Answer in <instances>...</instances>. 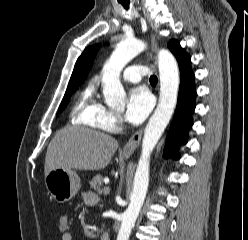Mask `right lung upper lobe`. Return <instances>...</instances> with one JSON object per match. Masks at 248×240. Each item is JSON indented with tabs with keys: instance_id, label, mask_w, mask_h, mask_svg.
Returning <instances> with one entry per match:
<instances>
[{
	"instance_id": "right-lung-upper-lobe-1",
	"label": "right lung upper lobe",
	"mask_w": 248,
	"mask_h": 240,
	"mask_svg": "<svg viewBox=\"0 0 248 240\" xmlns=\"http://www.w3.org/2000/svg\"><path fill=\"white\" fill-rule=\"evenodd\" d=\"M99 50V45H93L84 50L81 56L78 58L73 73L71 75L70 81L76 80L81 81V83L87 77L95 56Z\"/></svg>"
}]
</instances>
